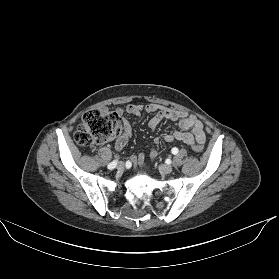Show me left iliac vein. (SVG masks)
Wrapping results in <instances>:
<instances>
[{"label": "left iliac vein", "instance_id": "obj_1", "mask_svg": "<svg viewBox=\"0 0 279 279\" xmlns=\"http://www.w3.org/2000/svg\"><path fill=\"white\" fill-rule=\"evenodd\" d=\"M159 170L164 174H170L173 171V167L167 164L159 165Z\"/></svg>", "mask_w": 279, "mask_h": 279}]
</instances>
